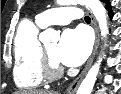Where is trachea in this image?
Here are the masks:
<instances>
[{
    "instance_id": "obj_1",
    "label": "trachea",
    "mask_w": 121,
    "mask_h": 94,
    "mask_svg": "<svg viewBox=\"0 0 121 94\" xmlns=\"http://www.w3.org/2000/svg\"><path fill=\"white\" fill-rule=\"evenodd\" d=\"M85 21H90V17L89 16H85Z\"/></svg>"
}]
</instances>
